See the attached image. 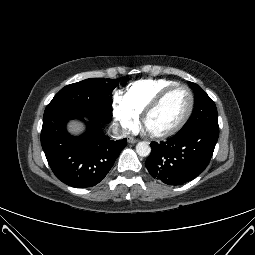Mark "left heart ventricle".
Segmentation results:
<instances>
[{
	"label": "left heart ventricle",
	"instance_id": "1",
	"mask_svg": "<svg viewBox=\"0 0 255 255\" xmlns=\"http://www.w3.org/2000/svg\"><path fill=\"white\" fill-rule=\"evenodd\" d=\"M189 103L190 97L186 89L179 88L171 92L148 117L147 129L153 132H162L174 127L185 115Z\"/></svg>",
	"mask_w": 255,
	"mask_h": 255
}]
</instances>
